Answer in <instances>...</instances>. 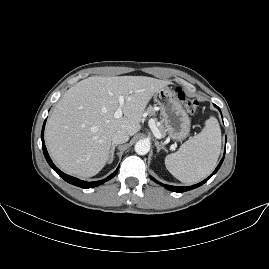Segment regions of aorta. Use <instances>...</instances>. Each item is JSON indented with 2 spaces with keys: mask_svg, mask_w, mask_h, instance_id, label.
Returning <instances> with one entry per match:
<instances>
[{
  "mask_svg": "<svg viewBox=\"0 0 269 269\" xmlns=\"http://www.w3.org/2000/svg\"><path fill=\"white\" fill-rule=\"evenodd\" d=\"M150 150V143L146 140H139L135 144V151L139 155H145L149 152Z\"/></svg>",
  "mask_w": 269,
  "mask_h": 269,
  "instance_id": "762f6f07",
  "label": "aorta"
}]
</instances>
